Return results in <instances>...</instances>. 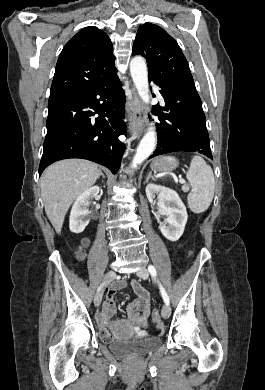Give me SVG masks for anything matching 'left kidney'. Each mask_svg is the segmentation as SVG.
Wrapping results in <instances>:
<instances>
[{"label": "left kidney", "mask_w": 265, "mask_h": 390, "mask_svg": "<svg viewBox=\"0 0 265 390\" xmlns=\"http://www.w3.org/2000/svg\"><path fill=\"white\" fill-rule=\"evenodd\" d=\"M146 195L150 203L154 204L155 195L158 196L157 216H166L160 225L163 236L169 241H177L183 234L187 222V211L179 195L165 186L148 184Z\"/></svg>", "instance_id": "obj_1"}]
</instances>
